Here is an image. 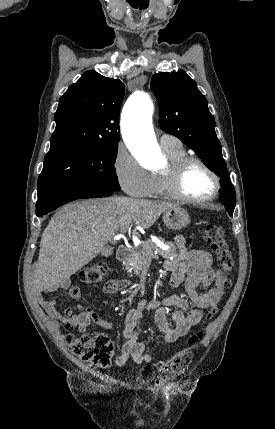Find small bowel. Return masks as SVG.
<instances>
[{
  "mask_svg": "<svg viewBox=\"0 0 275 429\" xmlns=\"http://www.w3.org/2000/svg\"><path fill=\"white\" fill-rule=\"evenodd\" d=\"M176 244L179 255L166 261L165 267L171 274L170 285L175 286L184 281L188 297L172 294L159 301L142 300L135 309L130 310L123 329L121 354L116 358L118 366H124L130 358L138 364L150 361V356L145 352L146 345L139 340L137 330L144 311H154L155 323L164 340L173 343L185 336L189 329L200 321L203 309L215 305L224 292L221 285L223 273L214 268L212 255L202 250L187 251L184 239L180 236L176 238ZM128 285L126 280L112 279L104 285L103 290L106 294H116ZM57 287L67 289L73 298L82 297L79 287L70 282H62ZM53 289L46 287L42 291ZM37 299L51 317L71 327H77L80 332H85L92 323L111 329V325L103 321L91 307L77 305L74 308L58 310L53 300L44 299L41 295H38ZM169 306L176 308L171 316L172 325L168 322L165 310Z\"/></svg>",
  "mask_w": 275,
  "mask_h": 429,
  "instance_id": "c3829d8e",
  "label": "small bowel"
}]
</instances>
